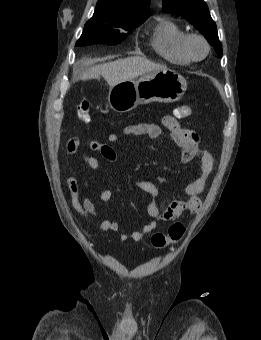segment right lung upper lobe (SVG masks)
I'll use <instances>...</instances> for the list:
<instances>
[{"label": "right lung upper lobe", "mask_w": 261, "mask_h": 340, "mask_svg": "<svg viewBox=\"0 0 261 340\" xmlns=\"http://www.w3.org/2000/svg\"><path fill=\"white\" fill-rule=\"evenodd\" d=\"M150 0H98L95 14L112 19H147Z\"/></svg>", "instance_id": "1"}]
</instances>
